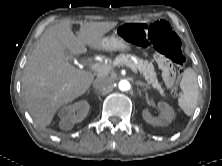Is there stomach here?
<instances>
[{
    "mask_svg": "<svg viewBox=\"0 0 222 166\" xmlns=\"http://www.w3.org/2000/svg\"><path fill=\"white\" fill-rule=\"evenodd\" d=\"M98 49L105 51H129L131 46L116 31L114 35L103 37Z\"/></svg>",
    "mask_w": 222,
    "mask_h": 166,
    "instance_id": "stomach-1",
    "label": "stomach"
}]
</instances>
